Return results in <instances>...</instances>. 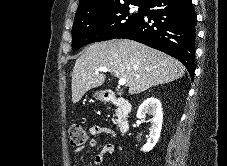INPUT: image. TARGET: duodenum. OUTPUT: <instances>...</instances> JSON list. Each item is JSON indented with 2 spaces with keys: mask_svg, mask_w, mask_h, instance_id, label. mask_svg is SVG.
Masks as SVG:
<instances>
[{
  "mask_svg": "<svg viewBox=\"0 0 227 166\" xmlns=\"http://www.w3.org/2000/svg\"><path fill=\"white\" fill-rule=\"evenodd\" d=\"M104 101L115 105L118 109L119 129L122 134L128 132L130 128L129 115L132 111V104L124 98H117L110 90H105Z\"/></svg>",
  "mask_w": 227,
  "mask_h": 166,
  "instance_id": "410a0bca",
  "label": "duodenum"
}]
</instances>
